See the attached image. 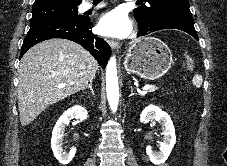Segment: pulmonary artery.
<instances>
[{
  "label": "pulmonary artery",
  "mask_w": 227,
  "mask_h": 166,
  "mask_svg": "<svg viewBox=\"0 0 227 166\" xmlns=\"http://www.w3.org/2000/svg\"><path fill=\"white\" fill-rule=\"evenodd\" d=\"M101 6H103V5H98V6H96L95 8H98V7H101ZM81 10L82 11H86V10H90V9H92L93 8V6H92V4L91 3H89V2H86V3H83L82 5H81Z\"/></svg>",
  "instance_id": "obj_1"
}]
</instances>
